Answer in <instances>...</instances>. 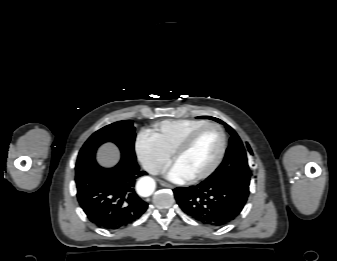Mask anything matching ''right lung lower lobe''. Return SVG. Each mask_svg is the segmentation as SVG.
<instances>
[{
	"mask_svg": "<svg viewBox=\"0 0 337 261\" xmlns=\"http://www.w3.org/2000/svg\"><path fill=\"white\" fill-rule=\"evenodd\" d=\"M146 174L135 159L125 155L113 168H103L93 161L76 170L79 204L98 227L115 230L127 226L148 207L134 189L136 180Z\"/></svg>",
	"mask_w": 337,
	"mask_h": 261,
	"instance_id": "obj_1",
	"label": "right lung lower lobe"
}]
</instances>
